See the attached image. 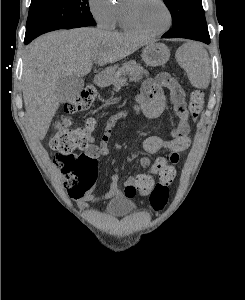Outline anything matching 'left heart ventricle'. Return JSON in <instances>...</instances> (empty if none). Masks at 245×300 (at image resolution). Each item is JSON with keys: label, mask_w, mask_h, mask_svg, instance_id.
Returning <instances> with one entry per match:
<instances>
[{"label": "left heart ventricle", "mask_w": 245, "mask_h": 300, "mask_svg": "<svg viewBox=\"0 0 245 300\" xmlns=\"http://www.w3.org/2000/svg\"><path fill=\"white\" fill-rule=\"evenodd\" d=\"M140 25L148 31H158L167 24V14L158 0H140L135 8Z\"/></svg>", "instance_id": "1"}]
</instances>
